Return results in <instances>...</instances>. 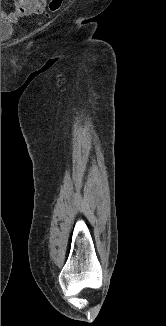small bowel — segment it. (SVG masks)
Wrapping results in <instances>:
<instances>
[{
	"label": "small bowel",
	"instance_id": "small-bowel-1",
	"mask_svg": "<svg viewBox=\"0 0 166 326\" xmlns=\"http://www.w3.org/2000/svg\"><path fill=\"white\" fill-rule=\"evenodd\" d=\"M47 6V0H13V11H1V19L17 21L29 14H40L44 12Z\"/></svg>",
	"mask_w": 166,
	"mask_h": 326
}]
</instances>
